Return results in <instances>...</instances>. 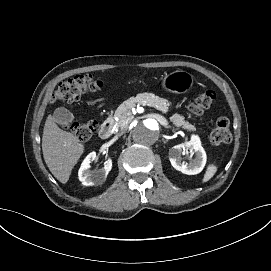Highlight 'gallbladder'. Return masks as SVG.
I'll use <instances>...</instances> for the list:
<instances>
[{
    "mask_svg": "<svg viewBox=\"0 0 271 271\" xmlns=\"http://www.w3.org/2000/svg\"><path fill=\"white\" fill-rule=\"evenodd\" d=\"M74 119V115L64 107L57 108L53 113V121L60 125H68Z\"/></svg>",
    "mask_w": 271,
    "mask_h": 271,
    "instance_id": "obj_1",
    "label": "gallbladder"
}]
</instances>
